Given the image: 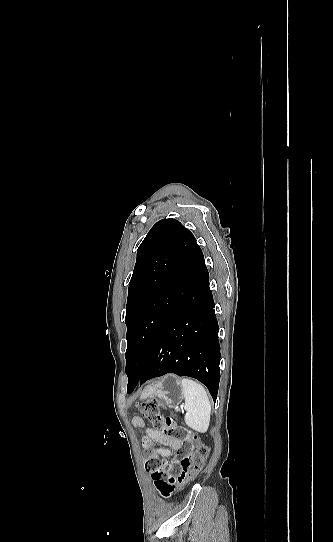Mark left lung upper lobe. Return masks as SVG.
I'll return each mask as SVG.
<instances>
[{"label":"left lung upper lobe","mask_w":333,"mask_h":542,"mask_svg":"<svg viewBox=\"0 0 333 542\" xmlns=\"http://www.w3.org/2000/svg\"><path fill=\"white\" fill-rule=\"evenodd\" d=\"M205 267L194 235L179 221L162 219L148 232L128 288V380L140 374L159 331Z\"/></svg>","instance_id":"obj_1"}]
</instances>
